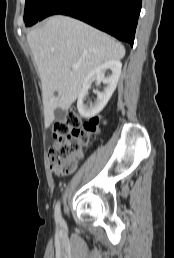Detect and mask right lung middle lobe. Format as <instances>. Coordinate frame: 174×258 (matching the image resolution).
Wrapping results in <instances>:
<instances>
[{"label": "right lung middle lobe", "mask_w": 174, "mask_h": 258, "mask_svg": "<svg viewBox=\"0 0 174 258\" xmlns=\"http://www.w3.org/2000/svg\"><path fill=\"white\" fill-rule=\"evenodd\" d=\"M53 0H26L24 21L26 26H32L43 19L45 9Z\"/></svg>", "instance_id": "right-lung-middle-lobe-1"}]
</instances>
